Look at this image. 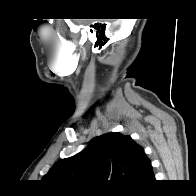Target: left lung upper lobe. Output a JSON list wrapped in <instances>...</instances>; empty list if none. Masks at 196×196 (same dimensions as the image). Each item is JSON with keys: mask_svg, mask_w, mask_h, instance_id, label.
Segmentation results:
<instances>
[{"mask_svg": "<svg viewBox=\"0 0 196 196\" xmlns=\"http://www.w3.org/2000/svg\"><path fill=\"white\" fill-rule=\"evenodd\" d=\"M149 163L144 149L129 135L111 132L92 139L82 152L59 160L43 180L58 187H134Z\"/></svg>", "mask_w": 196, "mask_h": 196, "instance_id": "obj_1", "label": "left lung upper lobe"}]
</instances>
